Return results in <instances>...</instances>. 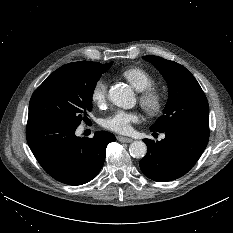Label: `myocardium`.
Instances as JSON below:
<instances>
[{
  "mask_svg": "<svg viewBox=\"0 0 233 233\" xmlns=\"http://www.w3.org/2000/svg\"><path fill=\"white\" fill-rule=\"evenodd\" d=\"M139 101L143 109L150 115L158 114L163 107V95L154 88L141 91Z\"/></svg>",
  "mask_w": 233,
  "mask_h": 233,
  "instance_id": "f54148a6",
  "label": "myocardium"
}]
</instances>
